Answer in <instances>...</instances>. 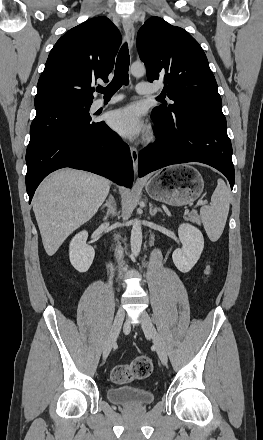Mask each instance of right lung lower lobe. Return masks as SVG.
<instances>
[{
	"mask_svg": "<svg viewBox=\"0 0 263 440\" xmlns=\"http://www.w3.org/2000/svg\"><path fill=\"white\" fill-rule=\"evenodd\" d=\"M26 164L29 203L40 182L64 167L90 171L126 187L134 179L128 145L104 122L65 129L28 145Z\"/></svg>",
	"mask_w": 263,
	"mask_h": 440,
	"instance_id": "1",
	"label": "right lung lower lobe"
}]
</instances>
